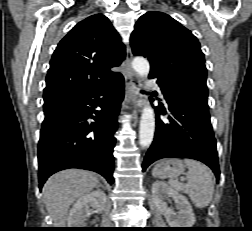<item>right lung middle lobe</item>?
<instances>
[{
  "label": "right lung middle lobe",
  "mask_w": 252,
  "mask_h": 231,
  "mask_svg": "<svg viewBox=\"0 0 252 231\" xmlns=\"http://www.w3.org/2000/svg\"><path fill=\"white\" fill-rule=\"evenodd\" d=\"M67 100H57L51 102H45L43 105L44 113H49L59 107H61Z\"/></svg>",
  "instance_id": "1"
}]
</instances>
